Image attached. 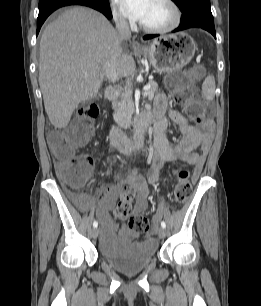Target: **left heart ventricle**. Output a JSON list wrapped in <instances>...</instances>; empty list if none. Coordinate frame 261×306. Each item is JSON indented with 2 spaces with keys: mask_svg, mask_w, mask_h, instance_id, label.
<instances>
[{
  "mask_svg": "<svg viewBox=\"0 0 261 306\" xmlns=\"http://www.w3.org/2000/svg\"><path fill=\"white\" fill-rule=\"evenodd\" d=\"M171 16L169 7L161 0H150L145 15L140 22L149 26H161L167 24L171 20Z\"/></svg>",
  "mask_w": 261,
  "mask_h": 306,
  "instance_id": "obj_1",
  "label": "left heart ventricle"
}]
</instances>
